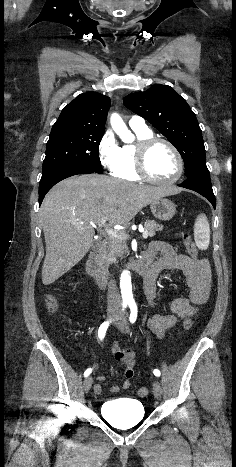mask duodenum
Returning a JSON list of instances; mask_svg holds the SVG:
<instances>
[{
  "label": "duodenum",
  "mask_w": 236,
  "mask_h": 467,
  "mask_svg": "<svg viewBox=\"0 0 236 467\" xmlns=\"http://www.w3.org/2000/svg\"><path fill=\"white\" fill-rule=\"evenodd\" d=\"M105 250L106 242L105 240H102L94 246L86 261V269L88 273L94 278L101 289L107 287L110 279V274L103 263ZM130 269L137 275L142 276L146 281H152L155 278L154 272L144 259H138L132 262Z\"/></svg>",
  "instance_id": "obj_1"
}]
</instances>
